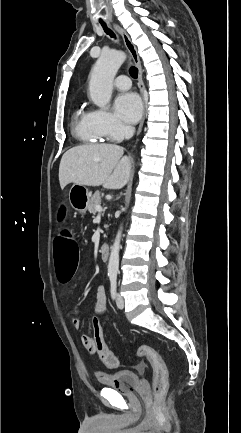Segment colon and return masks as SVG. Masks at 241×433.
I'll return each mask as SVG.
<instances>
[{"label":"colon","instance_id":"obj_1","mask_svg":"<svg viewBox=\"0 0 241 433\" xmlns=\"http://www.w3.org/2000/svg\"><path fill=\"white\" fill-rule=\"evenodd\" d=\"M59 209L67 208L66 200L58 201ZM64 213V210H61ZM53 238H51V249L56 266L57 279L60 283H68L77 270L78 264V247L76 238H74V230H70L68 226H64L62 230H53ZM100 314H95L91 319L93 327V341L87 343V348L98 353L103 363L110 369L118 366V359L107 346L100 324ZM136 356L138 358H147L153 368V393L155 402L165 394L168 384L167 367L162 356L152 347L142 345L137 349Z\"/></svg>","mask_w":241,"mask_h":433}]
</instances>
